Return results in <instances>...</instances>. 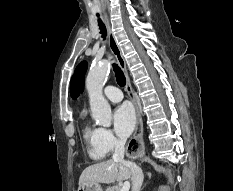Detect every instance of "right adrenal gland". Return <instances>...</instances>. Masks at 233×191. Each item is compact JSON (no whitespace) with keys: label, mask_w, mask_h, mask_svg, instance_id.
Masks as SVG:
<instances>
[{"label":"right adrenal gland","mask_w":233,"mask_h":191,"mask_svg":"<svg viewBox=\"0 0 233 191\" xmlns=\"http://www.w3.org/2000/svg\"><path fill=\"white\" fill-rule=\"evenodd\" d=\"M147 175L149 178H151V173L150 172H147Z\"/></svg>","instance_id":"obj_1"}]
</instances>
